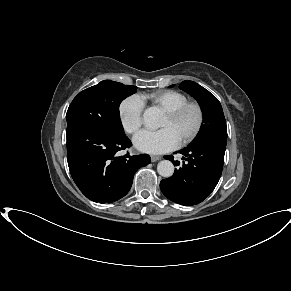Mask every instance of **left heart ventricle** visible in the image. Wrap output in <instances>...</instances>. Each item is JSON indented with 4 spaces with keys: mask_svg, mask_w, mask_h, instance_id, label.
<instances>
[{
    "mask_svg": "<svg viewBox=\"0 0 291 291\" xmlns=\"http://www.w3.org/2000/svg\"><path fill=\"white\" fill-rule=\"evenodd\" d=\"M197 121V114L194 110L187 111L182 117L171 121L166 115L163 117L160 127L169 128L180 142L194 129Z\"/></svg>",
    "mask_w": 291,
    "mask_h": 291,
    "instance_id": "obj_1",
    "label": "left heart ventricle"
}]
</instances>
